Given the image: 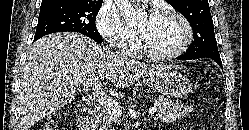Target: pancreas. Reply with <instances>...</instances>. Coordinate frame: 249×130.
<instances>
[{
    "instance_id": "cf45deb5",
    "label": "pancreas",
    "mask_w": 249,
    "mask_h": 130,
    "mask_svg": "<svg viewBox=\"0 0 249 130\" xmlns=\"http://www.w3.org/2000/svg\"><path fill=\"white\" fill-rule=\"evenodd\" d=\"M156 108L157 118L165 123H171L177 118H182L192 111L191 106L185 107L183 104H175L172 101L162 97L158 99ZM112 122L117 123L119 122V119L116 115L110 114L106 117L105 126L110 125Z\"/></svg>"
}]
</instances>
